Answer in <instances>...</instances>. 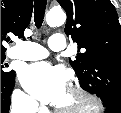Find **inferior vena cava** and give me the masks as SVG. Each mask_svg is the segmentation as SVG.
<instances>
[{
    "instance_id": "obj_1",
    "label": "inferior vena cava",
    "mask_w": 121,
    "mask_h": 113,
    "mask_svg": "<svg viewBox=\"0 0 121 113\" xmlns=\"http://www.w3.org/2000/svg\"><path fill=\"white\" fill-rule=\"evenodd\" d=\"M37 104L35 102L19 103L12 107L11 113H36Z\"/></svg>"
}]
</instances>
